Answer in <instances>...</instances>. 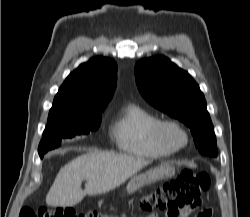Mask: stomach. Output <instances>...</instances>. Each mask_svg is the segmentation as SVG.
<instances>
[{
	"label": "stomach",
	"mask_w": 250,
	"mask_h": 217,
	"mask_svg": "<svg viewBox=\"0 0 250 217\" xmlns=\"http://www.w3.org/2000/svg\"><path fill=\"white\" fill-rule=\"evenodd\" d=\"M174 173V167L168 163H164L145 173L135 174L127 185V192L129 194L134 193L137 189L158 180L170 177Z\"/></svg>",
	"instance_id": "0dacf381"
}]
</instances>
